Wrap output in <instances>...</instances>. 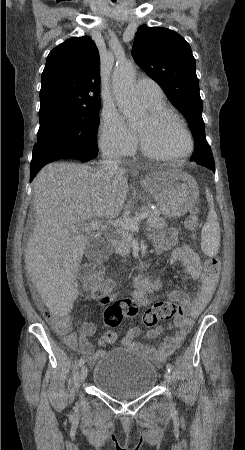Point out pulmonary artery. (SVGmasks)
Wrapping results in <instances>:
<instances>
[{"label": "pulmonary artery", "instance_id": "pulmonary-artery-1", "mask_svg": "<svg viewBox=\"0 0 245 450\" xmlns=\"http://www.w3.org/2000/svg\"><path fill=\"white\" fill-rule=\"evenodd\" d=\"M134 91L138 98L148 107L162 102L163 91L161 87L150 78H142L135 84Z\"/></svg>", "mask_w": 245, "mask_h": 450}]
</instances>
